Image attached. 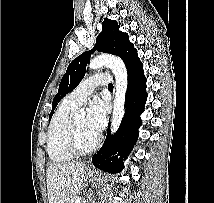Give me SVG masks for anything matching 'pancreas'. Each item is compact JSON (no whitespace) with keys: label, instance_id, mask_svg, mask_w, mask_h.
I'll use <instances>...</instances> for the list:
<instances>
[{"label":"pancreas","instance_id":"cf45deb5","mask_svg":"<svg viewBox=\"0 0 214 203\" xmlns=\"http://www.w3.org/2000/svg\"><path fill=\"white\" fill-rule=\"evenodd\" d=\"M78 197L74 196L68 203H77Z\"/></svg>","mask_w":214,"mask_h":203}]
</instances>
